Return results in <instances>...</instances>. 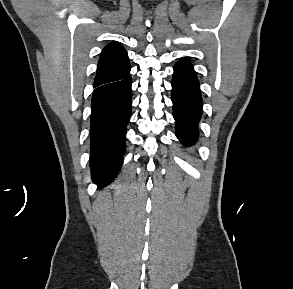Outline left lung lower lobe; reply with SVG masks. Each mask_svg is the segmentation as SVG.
<instances>
[{
    "instance_id": "1",
    "label": "left lung lower lobe",
    "mask_w": 293,
    "mask_h": 289,
    "mask_svg": "<svg viewBox=\"0 0 293 289\" xmlns=\"http://www.w3.org/2000/svg\"><path fill=\"white\" fill-rule=\"evenodd\" d=\"M172 102L176 136L184 146L193 145L198 138L203 101L196 72L187 58L174 66Z\"/></svg>"
}]
</instances>
